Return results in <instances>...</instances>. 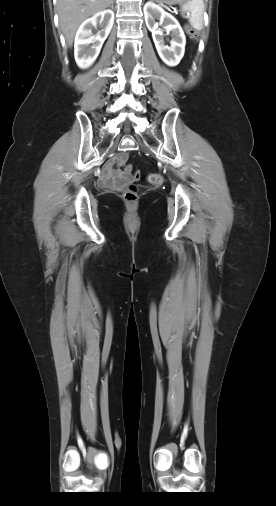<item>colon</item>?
Returning a JSON list of instances; mask_svg holds the SVG:
<instances>
[{
  "instance_id": "1",
  "label": "colon",
  "mask_w": 276,
  "mask_h": 506,
  "mask_svg": "<svg viewBox=\"0 0 276 506\" xmlns=\"http://www.w3.org/2000/svg\"><path fill=\"white\" fill-rule=\"evenodd\" d=\"M187 34L192 38V39H196L197 36H198V33L197 31H195L194 29L192 28H187ZM125 170L127 172H132V167L131 166H126L125 167ZM140 178V171L139 170H135L133 172V181H138ZM148 182L150 184H153V185H160L162 184L163 182V177L161 176L160 173H150L148 175ZM123 199L127 202V203H130V204H133L137 201L138 199V195H137V191H136V187L131 184L129 186V188L123 193Z\"/></svg>"
}]
</instances>
